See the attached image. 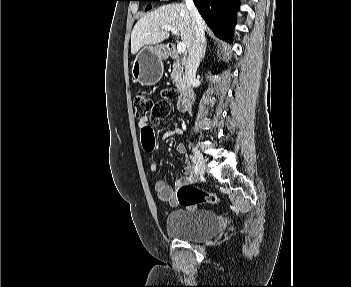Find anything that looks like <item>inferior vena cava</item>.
<instances>
[{
    "instance_id": "1",
    "label": "inferior vena cava",
    "mask_w": 351,
    "mask_h": 287,
    "mask_svg": "<svg viewBox=\"0 0 351 287\" xmlns=\"http://www.w3.org/2000/svg\"><path fill=\"white\" fill-rule=\"evenodd\" d=\"M186 7L192 17L194 27V40L185 66V80L189 90L194 87L196 81V72L200 64L203 48L205 45V33L202 18L193 2V0L185 1Z\"/></svg>"
}]
</instances>
